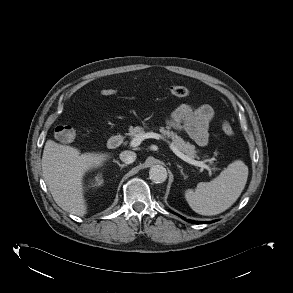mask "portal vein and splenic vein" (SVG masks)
I'll return each instance as SVG.
<instances>
[{"mask_svg": "<svg viewBox=\"0 0 293 293\" xmlns=\"http://www.w3.org/2000/svg\"><path fill=\"white\" fill-rule=\"evenodd\" d=\"M148 138H155V139H159L161 138V136L157 133H153V132H148V133H144V134H138L131 142H130V146L131 147H137L140 145V143L144 140V139H148ZM170 148L172 149V151L182 160L188 162L189 164H192L194 166H198L201 167L203 169H206L210 175H212V168L205 164L203 161H196L193 160L192 158L188 157L187 155L183 154L181 151H179L177 149V147L174 146L173 143L170 144Z\"/></svg>", "mask_w": 293, "mask_h": 293, "instance_id": "18ae733b", "label": "portal vein and splenic vein"}]
</instances>
